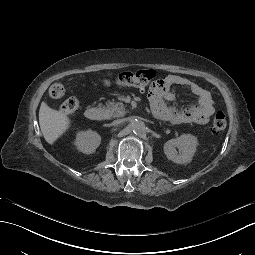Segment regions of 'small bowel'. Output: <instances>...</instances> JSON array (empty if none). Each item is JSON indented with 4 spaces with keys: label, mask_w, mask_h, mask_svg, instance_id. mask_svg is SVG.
<instances>
[{
    "label": "small bowel",
    "mask_w": 255,
    "mask_h": 255,
    "mask_svg": "<svg viewBox=\"0 0 255 255\" xmlns=\"http://www.w3.org/2000/svg\"><path fill=\"white\" fill-rule=\"evenodd\" d=\"M173 85H178L191 91L197 97V104L183 110H178L174 107H165L164 99L171 100L173 98V93L170 91V87ZM149 96L152 108H165L170 114L169 121L176 124L196 123L203 125L208 123L215 111L210 92L193 80L179 75H168L156 81L150 89Z\"/></svg>",
    "instance_id": "small-bowel-1"
}]
</instances>
